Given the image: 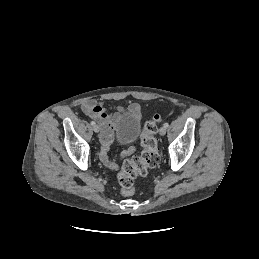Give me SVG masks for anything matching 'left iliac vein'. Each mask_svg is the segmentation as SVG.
<instances>
[{
	"mask_svg": "<svg viewBox=\"0 0 259 259\" xmlns=\"http://www.w3.org/2000/svg\"><path fill=\"white\" fill-rule=\"evenodd\" d=\"M159 134L161 136H164L166 134V127L162 126L160 129H159Z\"/></svg>",
	"mask_w": 259,
	"mask_h": 259,
	"instance_id": "obj_1",
	"label": "left iliac vein"
}]
</instances>
